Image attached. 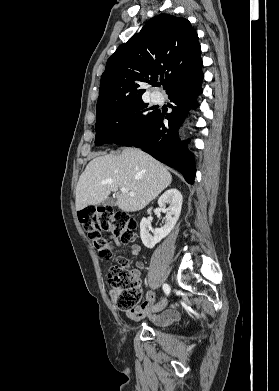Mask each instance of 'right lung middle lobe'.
Here are the masks:
<instances>
[{"mask_svg":"<svg viewBox=\"0 0 279 391\" xmlns=\"http://www.w3.org/2000/svg\"><path fill=\"white\" fill-rule=\"evenodd\" d=\"M142 100L96 113L95 144L113 143L124 133L151 117L156 110L148 111Z\"/></svg>","mask_w":279,"mask_h":391,"instance_id":"dd1d6c3e","label":"right lung middle lobe"}]
</instances>
